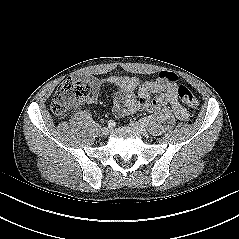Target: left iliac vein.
Returning <instances> with one entry per match:
<instances>
[{"mask_svg":"<svg viewBox=\"0 0 239 239\" xmlns=\"http://www.w3.org/2000/svg\"><path fill=\"white\" fill-rule=\"evenodd\" d=\"M130 125H131V127L133 128V129H135L139 134H141V135H146L147 134V130H146V128L142 125V124H140L139 122H131L130 123Z\"/></svg>","mask_w":239,"mask_h":239,"instance_id":"obj_1","label":"left iliac vein"}]
</instances>
